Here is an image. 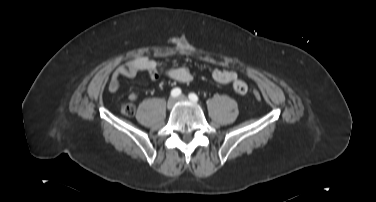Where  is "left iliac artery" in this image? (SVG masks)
Wrapping results in <instances>:
<instances>
[{"instance_id": "44dca946", "label": "left iliac artery", "mask_w": 376, "mask_h": 202, "mask_svg": "<svg viewBox=\"0 0 376 202\" xmlns=\"http://www.w3.org/2000/svg\"><path fill=\"white\" fill-rule=\"evenodd\" d=\"M189 99L192 101V102H198V96L195 94V93H190L189 94Z\"/></svg>"}]
</instances>
